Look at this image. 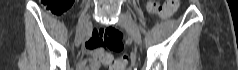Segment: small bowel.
Masks as SVG:
<instances>
[{"label": "small bowel", "mask_w": 238, "mask_h": 70, "mask_svg": "<svg viewBox=\"0 0 238 70\" xmlns=\"http://www.w3.org/2000/svg\"><path fill=\"white\" fill-rule=\"evenodd\" d=\"M85 46L91 57L81 62L80 70H99L101 63L106 64L107 61L111 59L110 54L99 50L94 35L86 40Z\"/></svg>", "instance_id": "small-bowel-1"}]
</instances>
